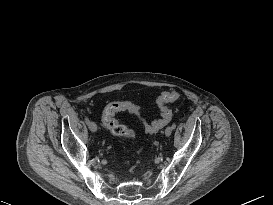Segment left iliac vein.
Returning a JSON list of instances; mask_svg holds the SVG:
<instances>
[{
  "mask_svg": "<svg viewBox=\"0 0 273 205\" xmlns=\"http://www.w3.org/2000/svg\"><path fill=\"white\" fill-rule=\"evenodd\" d=\"M172 127L171 126H168L167 128H166V130H165V135L166 136H170L171 135V133H172Z\"/></svg>",
  "mask_w": 273,
  "mask_h": 205,
  "instance_id": "obj_1",
  "label": "left iliac vein"
}]
</instances>
